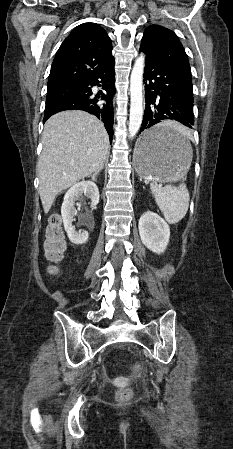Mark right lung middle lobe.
I'll return each mask as SVG.
<instances>
[{
  "label": "right lung middle lobe",
  "mask_w": 233,
  "mask_h": 449,
  "mask_svg": "<svg viewBox=\"0 0 233 449\" xmlns=\"http://www.w3.org/2000/svg\"><path fill=\"white\" fill-rule=\"evenodd\" d=\"M82 94L80 86H65L47 91L46 107L77 98Z\"/></svg>",
  "instance_id": "1"
}]
</instances>
